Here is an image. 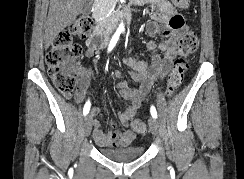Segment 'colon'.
<instances>
[{
  "label": "colon",
  "mask_w": 244,
  "mask_h": 179,
  "mask_svg": "<svg viewBox=\"0 0 244 179\" xmlns=\"http://www.w3.org/2000/svg\"><path fill=\"white\" fill-rule=\"evenodd\" d=\"M178 9H186L190 3L185 0H174ZM92 29V22L83 18L76 21L68 30L61 31L53 41L47 53L46 61L48 74L57 90L64 94H71L76 88L75 70L82 53L80 45L72 43L71 35H87ZM199 46V36L193 31L186 32L179 40L181 57H189ZM188 63L180 58L170 71L166 84V94L172 96L181 86ZM131 127L134 131L145 133L146 124L142 120H133Z\"/></svg>",
  "instance_id": "obj_1"
}]
</instances>
